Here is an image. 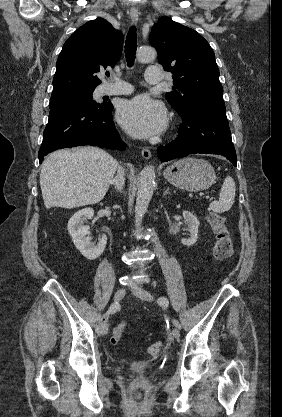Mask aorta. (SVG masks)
<instances>
[{"label":"aorta","instance_id":"aorta-1","mask_svg":"<svg viewBox=\"0 0 282 417\" xmlns=\"http://www.w3.org/2000/svg\"><path fill=\"white\" fill-rule=\"evenodd\" d=\"M136 56L140 62H147V60H153L156 58L157 52L155 48L151 46H141L137 48ZM155 180V170L154 166H146L139 182L138 192L136 196V206H135V227L140 229L142 225V219L147 213L149 202L152 198L154 182Z\"/></svg>","mask_w":282,"mask_h":417}]
</instances>
